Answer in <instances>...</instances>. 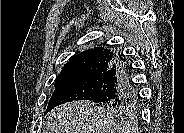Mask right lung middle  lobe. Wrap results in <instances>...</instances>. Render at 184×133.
<instances>
[{
	"instance_id": "right-lung-middle-lobe-1",
	"label": "right lung middle lobe",
	"mask_w": 184,
	"mask_h": 133,
	"mask_svg": "<svg viewBox=\"0 0 184 133\" xmlns=\"http://www.w3.org/2000/svg\"><path fill=\"white\" fill-rule=\"evenodd\" d=\"M54 86L55 90L46 112L66 102L94 99L103 87V74L55 80ZM97 106L110 116L132 117L136 114L139 105L135 102L121 105L100 103Z\"/></svg>"
}]
</instances>
